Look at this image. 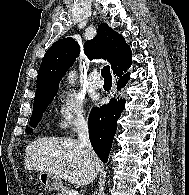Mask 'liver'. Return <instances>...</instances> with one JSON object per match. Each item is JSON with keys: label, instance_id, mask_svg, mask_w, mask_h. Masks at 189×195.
Segmentation results:
<instances>
[{"label": "liver", "instance_id": "1", "mask_svg": "<svg viewBox=\"0 0 189 195\" xmlns=\"http://www.w3.org/2000/svg\"><path fill=\"white\" fill-rule=\"evenodd\" d=\"M24 167L50 172L70 183L88 185L98 174L100 160L77 139L43 137L26 147Z\"/></svg>", "mask_w": 189, "mask_h": 195}]
</instances>
